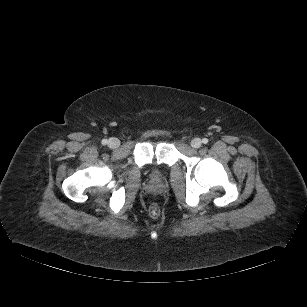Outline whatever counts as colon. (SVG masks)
Returning <instances> with one entry per match:
<instances>
[{
    "label": "colon",
    "instance_id": "colon-1",
    "mask_svg": "<svg viewBox=\"0 0 307 307\" xmlns=\"http://www.w3.org/2000/svg\"><path fill=\"white\" fill-rule=\"evenodd\" d=\"M149 213L152 216H158L160 214V206L156 203L151 204L149 207Z\"/></svg>",
    "mask_w": 307,
    "mask_h": 307
}]
</instances>
